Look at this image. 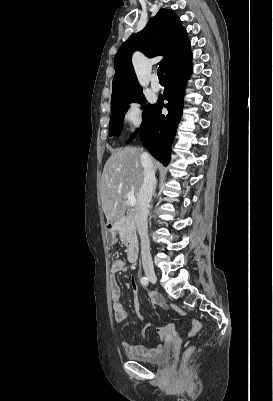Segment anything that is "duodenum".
<instances>
[{
    "instance_id": "410a0bca",
    "label": "duodenum",
    "mask_w": 273,
    "mask_h": 401,
    "mask_svg": "<svg viewBox=\"0 0 273 401\" xmlns=\"http://www.w3.org/2000/svg\"><path fill=\"white\" fill-rule=\"evenodd\" d=\"M134 215L132 213H127L123 215L119 221L111 224L108 226L109 231H116L118 230L122 225H127L130 229L134 227ZM127 245H128V251H127V258L128 261L131 263H134L138 259L139 255V246L136 238L134 236H130L127 239Z\"/></svg>"
}]
</instances>
